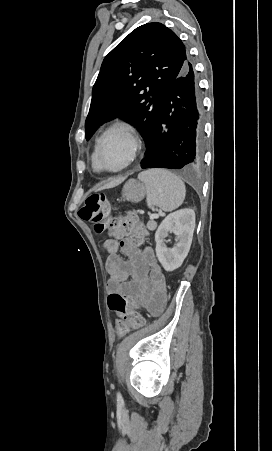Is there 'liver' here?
<instances>
[{
	"instance_id": "liver-1",
	"label": "liver",
	"mask_w": 272,
	"mask_h": 451,
	"mask_svg": "<svg viewBox=\"0 0 272 451\" xmlns=\"http://www.w3.org/2000/svg\"><path fill=\"white\" fill-rule=\"evenodd\" d=\"M125 178H117V180H114V182H109V184H106L107 188H113V186H118V184H121Z\"/></svg>"
}]
</instances>
